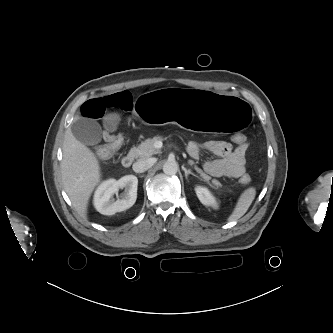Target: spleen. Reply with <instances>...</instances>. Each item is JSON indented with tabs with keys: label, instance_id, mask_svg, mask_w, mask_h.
I'll return each mask as SVG.
<instances>
[{
	"label": "spleen",
	"instance_id": "1",
	"mask_svg": "<svg viewBox=\"0 0 333 333\" xmlns=\"http://www.w3.org/2000/svg\"><path fill=\"white\" fill-rule=\"evenodd\" d=\"M255 196H256L255 188L250 187L244 190L240 195V197L238 198L234 211L229 216L228 221H236L239 218H241L247 212L248 208L255 199Z\"/></svg>",
	"mask_w": 333,
	"mask_h": 333
}]
</instances>
